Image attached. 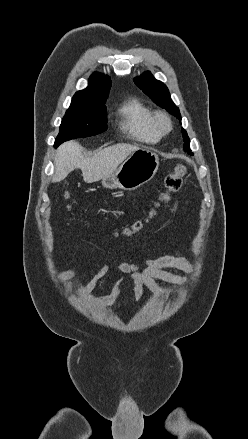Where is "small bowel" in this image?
Segmentation results:
<instances>
[{"mask_svg":"<svg viewBox=\"0 0 248 439\" xmlns=\"http://www.w3.org/2000/svg\"><path fill=\"white\" fill-rule=\"evenodd\" d=\"M118 268L121 272L120 277L115 281L111 292L103 297L97 298L104 302H113L118 293L122 283L129 279L133 286L134 299L138 300L145 288L158 295L172 296L179 293L180 290L166 287L159 283V281L173 284L184 285L187 282L185 276H181L167 269H177L184 273H191L193 271L192 264L187 260L183 253L174 251L171 255L151 258L146 261L145 268L141 269L139 266L121 259L118 262ZM109 270L108 263H103L95 278L84 287L76 291L77 295H87L96 286V282L104 277ZM77 272L74 269H68L59 274L62 280H69L76 276Z\"/></svg>","mask_w":248,"mask_h":439,"instance_id":"obj_1","label":"small bowel"}]
</instances>
